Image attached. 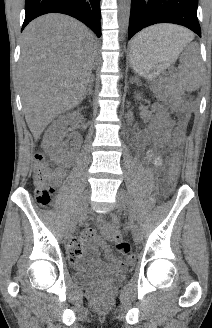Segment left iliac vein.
<instances>
[{
  "label": "left iliac vein",
  "instance_id": "left-iliac-vein-1",
  "mask_svg": "<svg viewBox=\"0 0 212 328\" xmlns=\"http://www.w3.org/2000/svg\"><path fill=\"white\" fill-rule=\"evenodd\" d=\"M115 207L119 212L126 211L125 196L121 190H119L117 193ZM130 227H131L134 241L136 243H140L141 242V232H140L138 225L133 221V219H130Z\"/></svg>",
  "mask_w": 212,
  "mask_h": 328
}]
</instances>
